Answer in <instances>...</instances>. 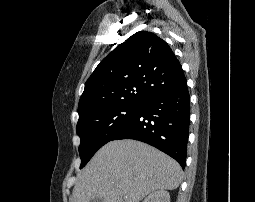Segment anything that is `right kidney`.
I'll return each mask as SVG.
<instances>
[{"instance_id": "ca27d5eb", "label": "right kidney", "mask_w": 255, "mask_h": 202, "mask_svg": "<svg viewBox=\"0 0 255 202\" xmlns=\"http://www.w3.org/2000/svg\"><path fill=\"white\" fill-rule=\"evenodd\" d=\"M143 202H170V195L165 190H159L151 193Z\"/></svg>"}]
</instances>
